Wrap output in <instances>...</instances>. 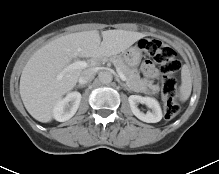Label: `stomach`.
<instances>
[{"label":"stomach","instance_id":"obj_1","mask_svg":"<svg viewBox=\"0 0 219 174\" xmlns=\"http://www.w3.org/2000/svg\"><path fill=\"white\" fill-rule=\"evenodd\" d=\"M142 49L139 45L129 48L125 53V62L130 67H135L141 62Z\"/></svg>","mask_w":219,"mask_h":174}]
</instances>
